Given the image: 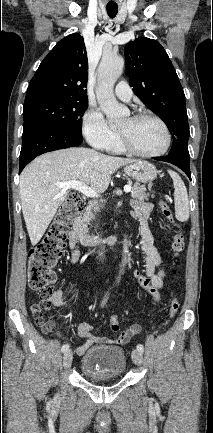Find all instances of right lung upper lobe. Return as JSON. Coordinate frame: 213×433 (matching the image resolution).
Here are the masks:
<instances>
[{
  "label": "right lung upper lobe",
  "mask_w": 213,
  "mask_h": 433,
  "mask_svg": "<svg viewBox=\"0 0 213 433\" xmlns=\"http://www.w3.org/2000/svg\"><path fill=\"white\" fill-rule=\"evenodd\" d=\"M87 68L84 40L77 33L71 34L60 40L41 62L26 97L56 95L88 99Z\"/></svg>",
  "instance_id": "right-lung-upper-lobe-1"
}]
</instances>
